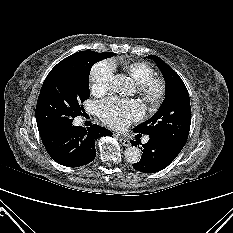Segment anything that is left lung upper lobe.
I'll return each instance as SVG.
<instances>
[{
  "instance_id": "1",
  "label": "left lung upper lobe",
  "mask_w": 233,
  "mask_h": 233,
  "mask_svg": "<svg viewBox=\"0 0 233 233\" xmlns=\"http://www.w3.org/2000/svg\"><path fill=\"white\" fill-rule=\"evenodd\" d=\"M160 69L166 83L165 99L159 110L137 125L135 133L155 136L181 151L187 142L191 124L190 98L180 76L155 55H149Z\"/></svg>"
}]
</instances>
